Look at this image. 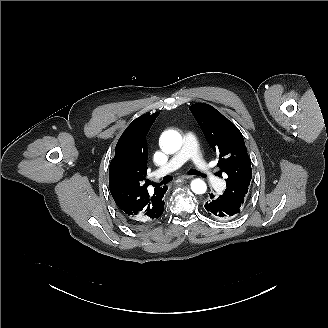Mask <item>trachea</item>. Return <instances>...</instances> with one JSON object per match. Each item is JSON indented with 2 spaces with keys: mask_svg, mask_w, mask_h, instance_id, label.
<instances>
[{
  "mask_svg": "<svg viewBox=\"0 0 328 328\" xmlns=\"http://www.w3.org/2000/svg\"><path fill=\"white\" fill-rule=\"evenodd\" d=\"M188 174L189 175H199V176H202V177H205L204 174H202L201 172H198L196 170H189L188 171ZM173 177L170 176V175H167L163 178L162 182H160L159 184H153L154 186L156 187H159L160 185L164 184L166 185L167 183H169L170 181H172Z\"/></svg>",
  "mask_w": 328,
  "mask_h": 328,
  "instance_id": "3493384b",
  "label": "trachea"
}]
</instances>
